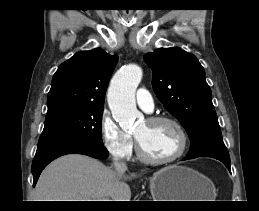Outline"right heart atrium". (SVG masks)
Returning <instances> with one entry per match:
<instances>
[{
    "label": "right heart atrium",
    "mask_w": 259,
    "mask_h": 211,
    "mask_svg": "<svg viewBox=\"0 0 259 211\" xmlns=\"http://www.w3.org/2000/svg\"><path fill=\"white\" fill-rule=\"evenodd\" d=\"M100 135L106 150L117 159H128L133 151V138L124 132L112 116L104 111L100 118Z\"/></svg>",
    "instance_id": "right-heart-atrium-1"
}]
</instances>
